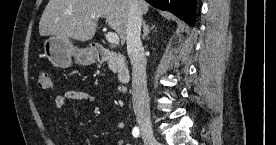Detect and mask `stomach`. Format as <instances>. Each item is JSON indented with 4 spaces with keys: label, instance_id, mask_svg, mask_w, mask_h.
Instances as JSON below:
<instances>
[{
    "label": "stomach",
    "instance_id": "0dacf381",
    "mask_svg": "<svg viewBox=\"0 0 276 145\" xmlns=\"http://www.w3.org/2000/svg\"><path fill=\"white\" fill-rule=\"evenodd\" d=\"M44 53L49 61L57 67L67 68L72 62V57L82 64L90 65L96 59L93 47L79 49L67 37L51 36L43 43Z\"/></svg>",
    "mask_w": 276,
    "mask_h": 145
}]
</instances>
